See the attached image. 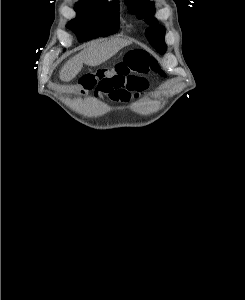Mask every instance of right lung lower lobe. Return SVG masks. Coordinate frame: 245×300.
I'll return each mask as SVG.
<instances>
[{"label": "right lung lower lobe", "mask_w": 245, "mask_h": 300, "mask_svg": "<svg viewBox=\"0 0 245 300\" xmlns=\"http://www.w3.org/2000/svg\"><path fill=\"white\" fill-rule=\"evenodd\" d=\"M82 26L88 30L94 29L97 25L93 22H85L82 24Z\"/></svg>", "instance_id": "1"}]
</instances>
